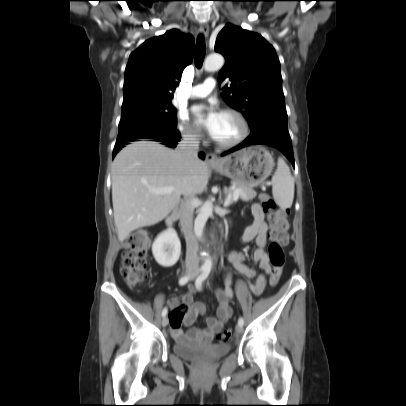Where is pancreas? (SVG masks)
I'll list each match as a JSON object with an SVG mask.
<instances>
[{"instance_id":"pancreas-1","label":"pancreas","mask_w":406,"mask_h":406,"mask_svg":"<svg viewBox=\"0 0 406 406\" xmlns=\"http://www.w3.org/2000/svg\"><path fill=\"white\" fill-rule=\"evenodd\" d=\"M234 185H235V188L230 190L229 193H233V191L235 189H240L244 193V195H240V198H241V200H243L245 202L252 200L257 195V193L251 188H248L244 185L237 184V183H234Z\"/></svg>"}]
</instances>
